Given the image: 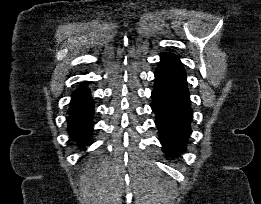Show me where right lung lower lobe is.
Segmentation results:
<instances>
[{"label": "right lung lower lobe", "instance_id": "98d812e1", "mask_svg": "<svg viewBox=\"0 0 261 204\" xmlns=\"http://www.w3.org/2000/svg\"><path fill=\"white\" fill-rule=\"evenodd\" d=\"M84 82L75 90L68 109V132L71 137L85 149L83 145H90L93 131L94 103Z\"/></svg>", "mask_w": 261, "mask_h": 204}]
</instances>
